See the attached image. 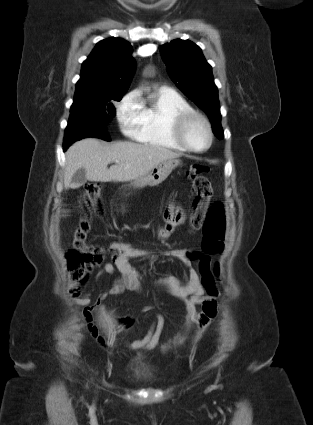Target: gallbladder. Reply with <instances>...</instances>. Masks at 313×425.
I'll return each mask as SVG.
<instances>
[{
  "mask_svg": "<svg viewBox=\"0 0 313 425\" xmlns=\"http://www.w3.org/2000/svg\"><path fill=\"white\" fill-rule=\"evenodd\" d=\"M86 181H87L86 172L83 168H80L79 170H77L72 177L73 184L83 185L86 183Z\"/></svg>",
  "mask_w": 313,
  "mask_h": 425,
  "instance_id": "gallbladder-1",
  "label": "gallbladder"
}]
</instances>
